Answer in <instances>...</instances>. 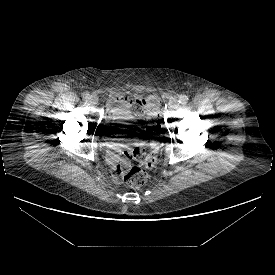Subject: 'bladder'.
<instances>
[{
	"mask_svg": "<svg viewBox=\"0 0 275 275\" xmlns=\"http://www.w3.org/2000/svg\"><path fill=\"white\" fill-rule=\"evenodd\" d=\"M127 115L119 114L117 111L114 113L109 110V114L105 117L104 123L107 127H117L121 124V118H126Z\"/></svg>",
	"mask_w": 275,
	"mask_h": 275,
	"instance_id": "31cf9c89",
	"label": "bladder"
}]
</instances>
